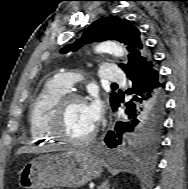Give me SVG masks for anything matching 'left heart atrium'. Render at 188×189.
I'll list each match as a JSON object with an SVG mask.
<instances>
[{"mask_svg": "<svg viewBox=\"0 0 188 189\" xmlns=\"http://www.w3.org/2000/svg\"><path fill=\"white\" fill-rule=\"evenodd\" d=\"M87 113L94 125L99 123L103 113V106L98 97H94V99L87 104Z\"/></svg>", "mask_w": 188, "mask_h": 189, "instance_id": "obj_1", "label": "left heart atrium"}]
</instances>
